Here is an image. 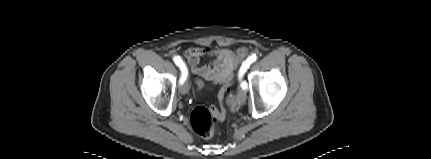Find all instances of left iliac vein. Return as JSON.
Wrapping results in <instances>:
<instances>
[{
    "label": "left iliac vein",
    "mask_w": 431,
    "mask_h": 159,
    "mask_svg": "<svg viewBox=\"0 0 431 159\" xmlns=\"http://www.w3.org/2000/svg\"><path fill=\"white\" fill-rule=\"evenodd\" d=\"M237 99L239 103H244L246 101V92L243 89H238Z\"/></svg>",
    "instance_id": "4c4485c4"
}]
</instances>
